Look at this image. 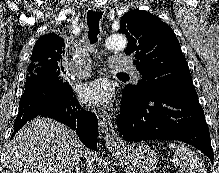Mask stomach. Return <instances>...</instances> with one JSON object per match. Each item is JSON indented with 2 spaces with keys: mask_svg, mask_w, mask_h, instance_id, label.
Masks as SVG:
<instances>
[{
  "mask_svg": "<svg viewBox=\"0 0 219 173\" xmlns=\"http://www.w3.org/2000/svg\"><path fill=\"white\" fill-rule=\"evenodd\" d=\"M111 152L126 173H151L157 164L156 153L144 142L120 144Z\"/></svg>",
  "mask_w": 219,
  "mask_h": 173,
  "instance_id": "1",
  "label": "stomach"
}]
</instances>
